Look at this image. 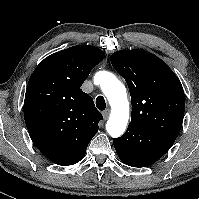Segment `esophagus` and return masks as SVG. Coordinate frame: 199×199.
Returning a JSON list of instances; mask_svg holds the SVG:
<instances>
[{
	"instance_id": "34e87169",
	"label": "esophagus",
	"mask_w": 199,
	"mask_h": 199,
	"mask_svg": "<svg viewBox=\"0 0 199 199\" xmlns=\"http://www.w3.org/2000/svg\"><path fill=\"white\" fill-rule=\"evenodd\" d=\"M109 114H110V110H109V109H107V110L103 111L102 115H103V117H104V119H105V120H107V119H108Z\"/></svg>"
}]
</instances>
